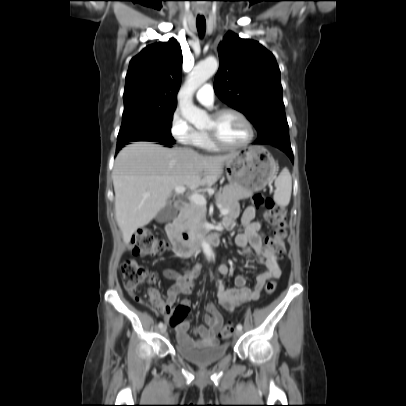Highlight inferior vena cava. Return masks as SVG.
<instances>
[{
    "label": "inferior vena cava",
    "mask_w": 406,
    "mask_h": 406,
    "mask_svg": "<svg viewBox=\"0 0 406 406\" xmlns=\"http://www.w3.org/2000/svg\"><path fill=\"white\" fill-rule=\"evenodd\" d=\"M189 151H191V152H194L192 149H188Z\"/></svg>",
    "instance_id": "1"
}]
</instances>
